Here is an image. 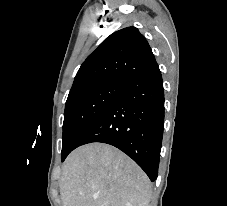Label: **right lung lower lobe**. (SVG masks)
I'll return each mask as SVG.
<instances>
[{
    "instance_id": "obj_1",
    "label": "right lung lower lobe",
    "mask_w": 227,
    "mask_h": 206,
    "mask_svg": "<svg viewBox=\"0 0 227 206\" xmlns=\"http://www.w3.org/2000/svg\"><path fill=\"white\" fill-rule=\"evenodd\" d=\"M164 126V89L158 65L126 82L123 93L81 135L75 148L102 142L131 157L157 179Z\"/></svg>"
}]
</instances>
